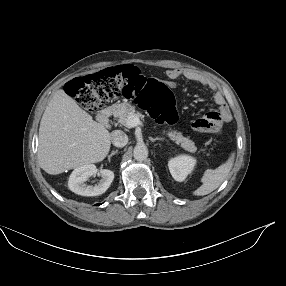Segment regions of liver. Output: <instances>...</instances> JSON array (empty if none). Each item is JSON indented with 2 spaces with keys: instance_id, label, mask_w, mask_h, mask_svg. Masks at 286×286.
<instances>
[{
  "instance_id": "6515ba94",
  "label": "liver",
  "mask_w": 286,
  "mask_h": 286,
  "mask_svg": "<svg viewBox=\"0 0 286 286\" xmlns=\"http://www.w3.org/2000/svg\"><path fill=\"white\" fill-rule=\"evenodd\" d=\"M112 136L64 90L48 103L39 128L38 162L48 174L97 163L110 150Z\"/></svg>"
}]
</instances>
